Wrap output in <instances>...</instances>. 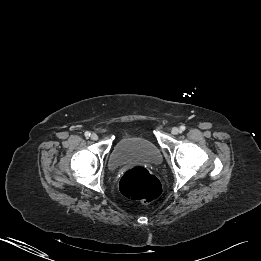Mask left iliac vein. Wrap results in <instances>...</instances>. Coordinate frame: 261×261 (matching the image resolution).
<instances>
[{"mask_svg":"<svg viewBox=\"0 0 261 261\" xmlns=\"http://www.w3.org/2000/svg\"><path fill=\"white\" fill-rule=\"evenodd\" d=\"M171 132H172L173 135H177V134H179L180 130L177 127H173Z\"/></svg>","mask_w":261,"mask_h":261,"instance_id":"1","label":"left iliac vein"}]
</instances>
